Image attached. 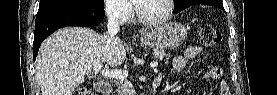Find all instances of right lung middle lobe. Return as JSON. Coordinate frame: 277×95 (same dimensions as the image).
<instances>
[{
  "mask_svg": "<svg viewBox=\"0 0 277 95\" xmlns=\"http://www.w3.org/2000/svg\"><path fill=\"white\" fill-rule=\"evenodd\" d=\"M103 0H40L38 16L52 13H82L103 11Z\"/></svg>",
  "mask_w": 277,
  "mask_h": 95,
  "instance_id": "dd1d6c3e",
  "label": "right lung middle lobe"
}]
</instances>
